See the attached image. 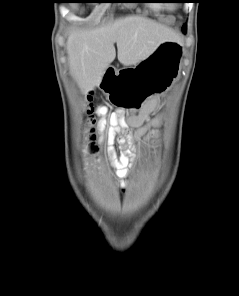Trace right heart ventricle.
<instances>
[{"label":"right heart ventricle","mask_w":239,"mask_h":296,"mask_svg":"<svg viewBox=\"0 0 239 296\" xmlns=\"http://www.w3.org/2000/svg\"><path fill=\"white\" fill-rule=\"evenodd\" d=\"M152 8H153L154 10H160V9H161L160 6H153Z\"/></svg>","instance_id":"right-heart-ventricle-1"}]
</instances>
